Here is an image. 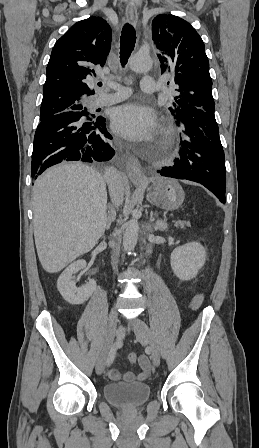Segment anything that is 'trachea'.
<instances>
[{
    "label": "trachea",
    "instance_id": "1",
    "mask_svg": "<svg viewBox=\"0 0 259 448\" xmlns=\"http://www.w3.org/2000/svg\"><path fill=\"white\" fill-rule=\"evenodd\" d=\"M136 42V33L134 28L126 23L122 30V35L120 37V62L122 67H124L128 61V58L133 52ZM98 86H102V82H98Z\"/></svg>",
    "mask_w": 259,
    "mask_h": 448
}]
</instances>
